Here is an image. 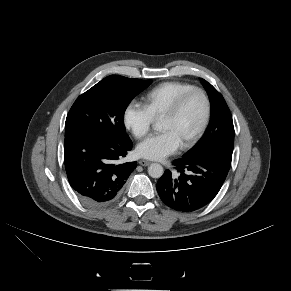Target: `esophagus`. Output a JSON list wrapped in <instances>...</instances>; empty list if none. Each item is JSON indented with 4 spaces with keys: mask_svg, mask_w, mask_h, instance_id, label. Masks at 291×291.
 <instances>
[{
    "mask_svg": "<svg viewBox=\"0 0 291 291\" xmlns=\"http://www.w3.org/2000/svg\"><path fill=\"white\" fill-rule=\"evenodd\" d=\"M150 161H148V160H144V159H141V160H139V164L141 165V166H148V165H150Z\"/></svg>",
    "mask_w": 291,
    "mask_h": 291,
    "instance_id": "esophagus-1",
    "label": "esophagus"
}]
</instances>
